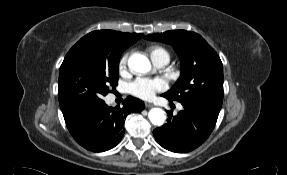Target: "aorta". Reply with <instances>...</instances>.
<instances>
[{
    "label": "aorta",
    "instance_id": "762f6f07",
    "mask_svg": "<svg viewBox=\"0 0 287 175\" xmlns=\"http://www.w3.org/2000/svg\"><path fill=\"white\" fill-rule=\"evenodd\" d=\"M128 67L134 73L145 74L150 71L149 59L139 53L132 54L128 59ZM150 122L155 126H161L165 122V112L161 108H152L148 113Z\"/></svg>",
    "mask_w": 287,
    "mask_h": 175
}]
</instances>
